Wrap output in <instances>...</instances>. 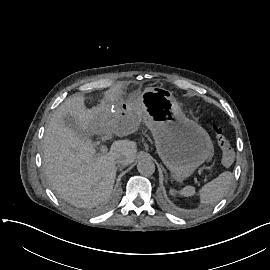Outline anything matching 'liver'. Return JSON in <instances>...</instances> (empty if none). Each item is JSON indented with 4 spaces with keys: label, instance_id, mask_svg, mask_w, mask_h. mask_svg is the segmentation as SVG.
<instances>
[{
    "label": "liver",
    "instance_id": "6515ba94",
    "mask_svg": "<svg viewBox=\"0 0 270 270\" xmlns=\"http://www.w3.org/2000/svg\"><path fill=\"white\" fill-rule=\"evenodd\" d=\"M126 83L117 84L104 92L101 103L95 108L86 106L84 96H72L54 113L43 139V158L48 180L58 194L71 204L91 207L109 198L116 178L117 162H134L137 144L116 140L107 154H96L89 137L97 127L124 137L136 133L145 116L139 104L141 92L129 94V110L112 118L111 107L122 102ZM73 118L82 128L76 133L66 126ZM99 122L98 125L96 122Z\"/></svg>",
    "mask_w": 270,
    "mask_h": 270
}]
</instances>
